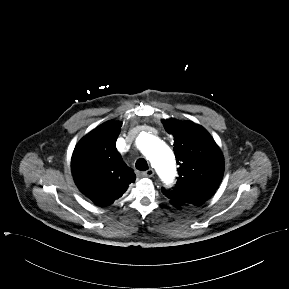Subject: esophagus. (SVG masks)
<instances>
[{
    "mask_svg": "<svg viewBox=\"0 0 289 289\" xmlns=\"http://www.w3.org/2000/svg\"><path fill=\"white\" fill-rule=\"evenodd\" d=\"M142 175H143L144 177H152V176L154 175V170H153L152 168H150V169L144 171V172L142 173Z\"/></svg>",
    "mask_w": 289,
    "mask_h": 289,
    "instance_id": "esophagus-1",
    "label": "esophagus"
}]
</instances>
